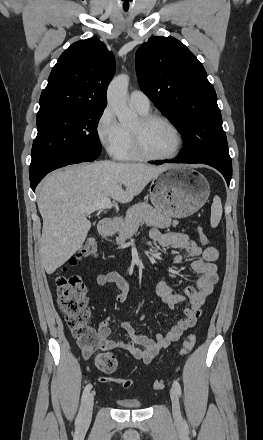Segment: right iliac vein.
<instances>
[{
  "label": "right iliac vein",
  "instance_id": "obj_1",
  "mask_svg": "<svg viewBox=\"0 0 263 440\" xmlns=\"http://www.w3.org/2000/svg\"><path fill=\"white\" fill-rule=\"evenodd\" d=\"M93 405H94V396H93V394H90L85 401L82 416H81V424L80 425L83 428L88 427L91 422Z\"/></svg>",
  "mask_w": 263,
  "mask_h": 440
}]
</instances>
